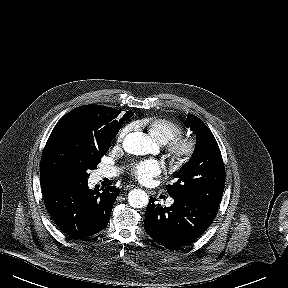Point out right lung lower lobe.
Masks as SVG:
<instances>
[{
    "label": "right lung lower lobe",
    "instance_id": "right-lung-lower-lobe-1",
    "mask_svg": "<svg viewBox=\"0 0 288 288\" xmlns=\"http://www.w3.org/2000/svg\"><path fill=\"white\" fill-rule=\"evenodd\" d=\"M45 206L55 224L74 239L89 237L103 230L119 194L109 186L102 192L89 189L87 182L42 188Z\"/></svg>",
    "mask_w": 288,
    "mask_h": 288
}]
</instances>
